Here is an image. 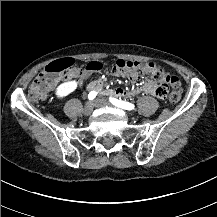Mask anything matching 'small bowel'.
I'll return each instance as SVG.
<instances>
[{
	"label": "small bowel",
	"mask_w": 217,
	"mask_h": 217,
	"mask_svg": "<svg viewBox=\"0 0 217 217\" xmlns=\"http://www.w3.org/2000/svg\"><path fill=\"white\" fill-rule=\"evenodd\" d=\"M85 70L84 68H79L76 71L72 72L69 75H61L59 77V80H66V79H72V78H79L80 79V73ZM110 75L114 77H121L122 75L119 73L110 72ZM144 90L147 93L153 94L157 97H163L165 95V89L164 88H157L154 82L149 81L146 84H144L142 87H136L132 89H125L121 87H116L112 90L113 95L115 96H129L133 94H137L140 91Z\"/></svg>",
	"instance_id": "c3829d8e"
}]
</instances>
